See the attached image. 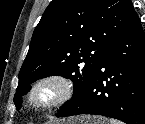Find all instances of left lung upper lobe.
Returning a JSON list of instances; mask_svg holds the SVG:
<instances>
[{"mask_svg": "<svg viewBox=\"0 0 145 124\" xmlns=\"http://www.w3.org/2000/svg\"><path fill=\"white\" fill-rule=\"evenodd\" d=\"M133 13L131 0H53L34 30L19 72L16 108L30 84L50 75L74 82L73 97L61 109L78 98Z\"/></svg>", "mask_w": 145, "mask_h": 124, "instance_id": "left-lung-upper-lobe-1", "label": "left lung upper lobe"}]
</instances>
